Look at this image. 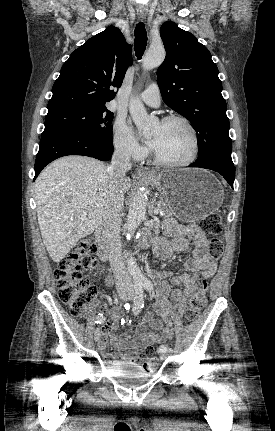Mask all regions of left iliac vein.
Here are the masks:
<instances>
[{
	"instance_id": "4c4485c4",
	"label": "left iliac vein",
	"mask_w": 275,
	"mask_h": 431,
	"mask_svg": "<svg viewBox=\"0 0 275 431\" xmlns=\"http://www.w3.org/2000/svg\"><path fill=\"white\" fill-rule=\"evenodd\" d=\"M170 353H171L170 349H166L164 352H162L160 354V358L162 360H166L168 358V356L170 355Z\"/></svg>"
}]
</instances>
